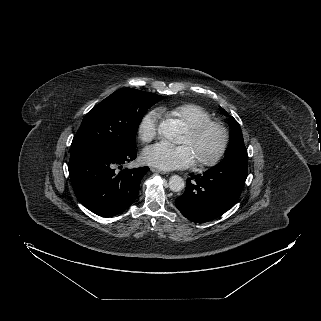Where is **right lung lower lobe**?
Returning <instances> with one entry per match:
<instances>
[{"mask_svg":"<svg viewBox=\"0 0 321 321\" xmlns=\"http://www.w3.org/2000/svg\"><path fill=\"white\" fill-rule=\"evenodd\" d=\"M136 148L127 151L92 145L71 148L69 177L78 200L93 213L111 217L120 214L137 198L147 166L116 171L133 161Z\"/></svg>","mask_w":321,"mask_h":321,"instance_id":"right-lung-lower-lobe-1","label":"right lung lower lobe"}]
</instances>
